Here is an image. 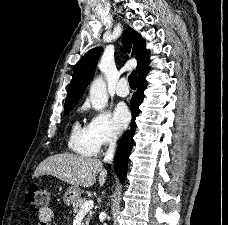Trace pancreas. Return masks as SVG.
Returning <instances> with one entry per match:
<instances>
[{"label":"pancreas","mask_w":228,"mask_h":225,"mask_svg":"<svg viewBox=\"0 0 228 225\" xmlns=\"http://www.w3.org/2000/svg\"><path fill=\"white\" fill-rule=\"evenodd\" d=\"M86 199H82V197H79V199H76V201H73V213L74 215H77L79 213L81 207H83V203H85ZM92 213H89L88 217H91ZM85 225H89L90 219H84Z\"/></svg>","instance_id":"obj_1"}]
</instances>
